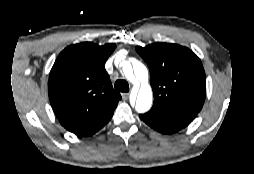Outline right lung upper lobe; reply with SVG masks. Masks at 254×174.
Wrapping results in <instances>:
<instances>
[{"label":"right lung upper lobe","mask_w":254,"mask_h":174,"mask_svg":"<svg viewBox=\"0 0 254 174\" xmlns=\"http://www.w3.org/2000/svg\"><path fill=\"white\" fill-rule=\"evenodd\" d=\"M115 44L98 46L91 42L66 47L50 74L48 94L61 125L76 131L115 110L121 95L105 70Z\"/></svg>","instance_id":"right-lung-upper-lobe-1"}]
</instances>
